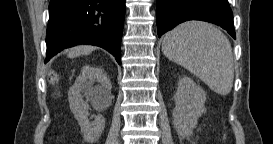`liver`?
<instances>
[{
  "instance_id": "liver-1",
  "label": "liver",
  "mask_w": 273,
  "mask_h": 144,
  "mask_svg": "<svg viewBox=\"0 0 273 144\" xmlns=\"http://www.w3.org/2000/svg\"><path fill=\"white\" fill-rule=\"evenodd\" d=\"M96 48L91 45H79L70 49L68 57L74 58L80 55H88Z\"/></svg>"
}]
</instances>
